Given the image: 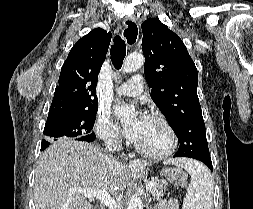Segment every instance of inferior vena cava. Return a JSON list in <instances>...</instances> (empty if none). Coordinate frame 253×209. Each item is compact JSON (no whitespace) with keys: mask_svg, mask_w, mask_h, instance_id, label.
Instances as JSON below:
<instances>
[{"mask_svg":"<svg viewBox=\"0 0 253 209\" xmlns=\"http://www.w3.org/2000/svg\"><path fill=\"white\" fill-rule=\"evenodd\" d=\"M121 145H122V139L117 131H111L105 137V146L108 151L119 152L121 149ZM107 162L109 163L110 167L115 166L118 169L119 167L118 161L114 159L112 155L108 156Z\"/></svg>","mask_w":253,"mask_h":209,"instance_id":"602c4592","label":"inferior vena cava"}]
</instances>
